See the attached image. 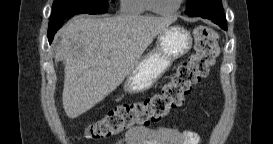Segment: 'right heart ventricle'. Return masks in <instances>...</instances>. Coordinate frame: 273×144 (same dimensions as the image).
<instances>
[{"label":"right heart ventricle","instance_id":"obj_1","mask_svg":"<svg viewBox=\"0 0 273 144\" xmlns=\"http://www.w3.org/2000/svg\"><path fill=\"white\" fill-rule=\"evenodd\" d=\"M148 11L147 0H122L121 13L128 16H141Z\"/></svg>","mask_w":273,"mask_h":144}]
</instances>
